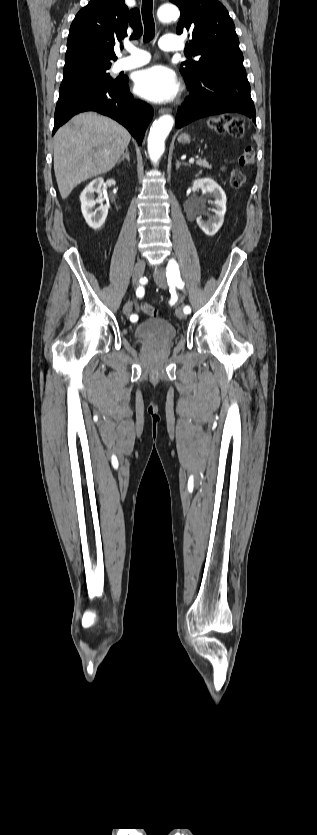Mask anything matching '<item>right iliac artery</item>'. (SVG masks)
I'll return each instance as SVG.
<instances>
[{
    "label": "right iliac artery",
    "instance_id": "obj_1",
    "mask_svg": "<svg viewBox=\"0 0 317 835\" xmlns=\"http://www.w3.org/2000/svg\"><path fill=\"white\" fill-rule=\"evenodd\" d=\"M144 293H145V290H144L143 286H139L136 289V295H137L138 298H142L144 296ZM137 319H138V317L136 315H131L130 316L131 321H136Z\"/></svg>",
    "mask_w": 317,
    "mask_h": 835
}]
</instances>
